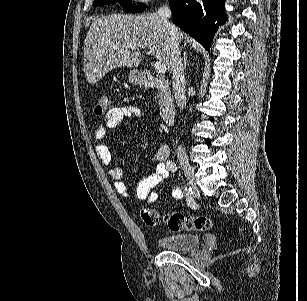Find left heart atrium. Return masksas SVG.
<instances>
[{
    "label": "left heart atrium",
    "instance_id": "1",
    "mask_svg": "<svg viewBox=\"0 0 307 301\" xmlns=\"http://www.w3.org/2000/svg\"><path fill=\"white\" fill-rule=\"evenodd\" d=\"M159 62H175V61H159Z\"/></svg>",
    "mask_w": 307,
    "mask_h": 301
}]
</instances>
